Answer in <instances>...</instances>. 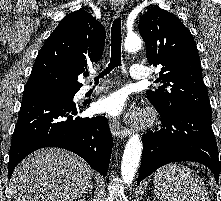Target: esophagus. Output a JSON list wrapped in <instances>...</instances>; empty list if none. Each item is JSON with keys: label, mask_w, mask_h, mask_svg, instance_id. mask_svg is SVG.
<instances>
[{"label": "esophagus", "mask_w": 221, "mask_h": 201, "mask_svg": "<svg viewBox=\"0 0 221 201\" xmlns=\"http://www.w3.org/2000/svg\"><path fill=\"white\" fill-rule=\"evenodd\" d=\"M124 8V3L122 0H115L114 2V9L117 14H120ZM109 126L111 129L112 134L119 138L123 139L130 134V130L126 127H123L117 120L110 119Z\"/></svg>", "instance_id": "esophagus-1"}]
</instances>
